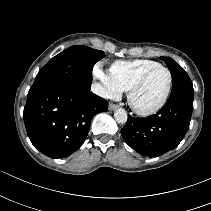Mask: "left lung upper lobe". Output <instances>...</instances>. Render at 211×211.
<instances>
[{
	"instance_id": "obj_1",
	"label": "left lung upper lobe",
	"mask_w": 211,
	"mask_h": 211,
	"mask_svg": "<svg viewBox=\"0 0 211 211\" xmlns=\"http://www.w3.org/2000/svg\"><path fill=\"white\" fill-rule=\"evenodd\" d=\"M169 68L173 85L170 96L185 95L194 97V90L192 82L186 71L171 58L160 57Z\"/></svg>"
}]
</instances>
